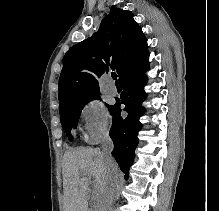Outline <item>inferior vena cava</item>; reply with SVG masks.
Masks as SVG:
<instances>
[{
	"label": "inferior vena cava",
	"mask_w": 219,
	"mask_h": 211,
	"mask_svg": "<svg viewBox=\"0 0 219 211\" xmlns=\"http://www.w3.org/2000/svg\"><path fill=\"white\" fill-rule=\"evenodd\" d=\"M101 147H102V157L104 159V171H108V175H111L109 178V183H107V192L108 193H113L111 196L114 198L116 195L114 193L118 192L117 188H120V183H122V179H124V174H121V170H117V162L115 161V159H113L112 155H111V151L114 147V143L112 141V139H110V137H104V139H102L101 141ZM110 202H105L104 206L105 207H112L113 203L111 202L113 199L110 197L108 199ZM108 208H101L100 211H109Z\"/></svg>",
	"instance_id": "1"
}]
</instances>
